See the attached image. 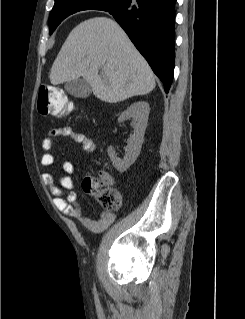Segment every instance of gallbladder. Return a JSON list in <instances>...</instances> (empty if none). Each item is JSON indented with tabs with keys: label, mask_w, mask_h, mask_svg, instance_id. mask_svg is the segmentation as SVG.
<instances>
[{
	"label": "gallbladder",
	"mask_w": 245,
	"mask_h": 319,
	"mask_svg": "<svg viewBox=\"0 0 245 319\" xmlns=\"http://www.w3.org/2000/svg\"><path fill=\"white\" fill-rule=\"evenodd\" d=\"M65 90L76 98H86L91 94V86L82 78L67 81L64 85Z\"/></svg>",
	"instance_id": "obj_1"
}]
</instances>
